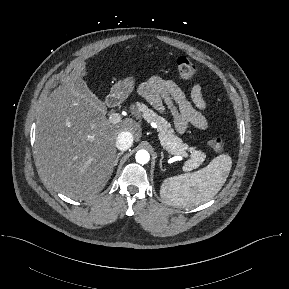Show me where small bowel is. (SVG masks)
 <instances>
[{
  "mask_svg": "<svg viewBox=\"0 0 289 289\" xmlns=\"http://www.w3.org/2000/svg\"><path fill=\"white\" fill-rule=\"evenodd\" d=\"M140 94L158 111L168 110L171 113L178 133H184L189 127L199 130H207L209 127L202 113L206 109V101L200 84L192 87L189 101L174 81L153 76L141 85Z\"/></svg>",
  "mask_w": 289,
  "mask_h": 289,
  "instance_id": "1",
  "label": "small bowel"
}]
</instances>
